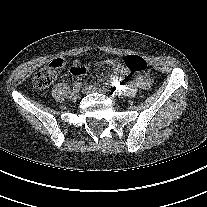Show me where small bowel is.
I'll return each instance as SVG.
<instances>
[{
  "label": "small bowel",
  "instance_id": "c3829d8e",
  "mask_svg": "<svg viewBox=\"0 0 207 207\" xmlns=\"http://www.w3.org/2000/svg\"><path fill=\"white\" fill-rule=\"evenodd\" d=\"M102 63L105 65L111 66L117 74H120L123 76H126L129 74L128 68L123 66L119 62L118 58L116 57L105 58L102 61ZM71 72L77 77H80L86 74V70L82 67L80 61L74 62ZM117 83L121 85L127 82L122 78H116V84ZM133 84L141 89H149L151 86V80L148 75H141L135 78V80L133 81Z\"/></svg>",
  "mask_w": 207,
  "mask_h": 207
}]
</instances>
